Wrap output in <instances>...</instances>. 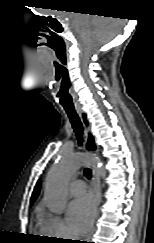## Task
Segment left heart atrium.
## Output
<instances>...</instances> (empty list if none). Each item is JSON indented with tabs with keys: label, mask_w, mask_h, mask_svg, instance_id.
I'll list each match as a JSON object with an SVG mask.
<instances>
[{
	"label": "left heart atrium",
	"mask_w": 154,
	"mask_h": 243,
	"mask_svg": "<svg viewBox=\"0 0 154 243\" xmlns=\"http://www.w3.org/2000/svg\"><path fill=\"white\" fill-rule=\"evenodd\" d=\"M94 215L95 204L91 196L85 195L72 201L68 208V220L73 232L79 235L87 232Z\"/></svg>",
	"instance_id": "obj_1"
}]
</instances>
